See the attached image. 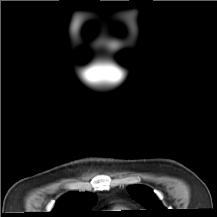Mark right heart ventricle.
Returning <instances> with one entry per match:
<instances>
[{"label": "right heart ventricle", "mask_w": 217, "mask_h": 217, "mask_svg": "<svg viewBox=\"0 0 217 217\" xmlns=\"http://www.w3.org/2000/svg\"><path fill=\"white\" fill-rule=\"evenodd\" d=\"M112 210H113V212H122L123 211V207H121V206H114Z\"/></svg>", "instance_id": "obj_1"}]
</instances>
